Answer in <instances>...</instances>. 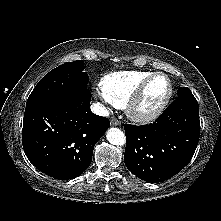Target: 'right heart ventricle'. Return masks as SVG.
I'll list each match as a JSON object with an SVG mask.
<instances>
[{"label": "right heart ventricle", "instance_id": "e07e8e85", "mask_svg": "<svg viewBox=\"0 0 221 221\" xmlns=\"http://www.w3.org/2000/svg\"><path fill=\"white\" fill-rule=\"evenodd\" d=\"M152 73L144 70L114 71L101 78L99 87L116 107L123 108L140 82Z\"/></svg>", "mask_w": 221, "mask_h": 221}]
</instances>
